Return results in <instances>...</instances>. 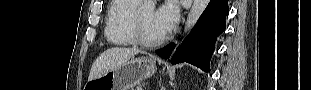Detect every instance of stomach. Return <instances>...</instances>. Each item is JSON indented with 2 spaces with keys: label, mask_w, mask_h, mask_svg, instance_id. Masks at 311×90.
<instances>
[{
  "label": "stomach",
  "mask_w": 311,
  "mask_h": 90,
  "mask_svg": "<svg viewBox=\"0 0 311 90\" xmlns=\"http://www.w3.org/2000/svg\"><path fill=\"white\" fill-rule=\"evenodd\" d=\"M156 70L155 57L132 58L99 78L88 81L84 90H133L144 79L151 77Z\"/></svg>",
  "instance_id": "stomach-1"
}]
</instances>
